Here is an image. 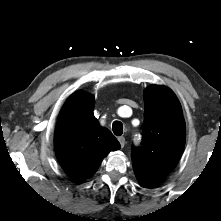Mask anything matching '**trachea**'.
<instances>
[{"mask_svg": "<svg viewBox=\"0 0 221 221\" xmlns=\"http://www.w3.org/2000/svg\"><path fill=\"white\" fill-rule=\"evenodd\" d=\"M112 129L116 136H121L123 133V124L120 121H114L112 124Z\"/></svg>", "mask_w": 221, "mask_h": 221, "instance_id": "3493384b", "label": "trachea"}]
</instances>
